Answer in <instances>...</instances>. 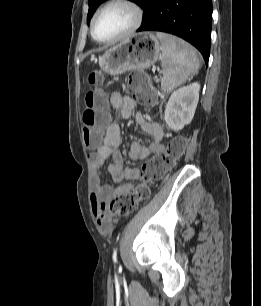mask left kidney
<instances>
[{
	"instance_id": "obj_1",
	"label": "left kidney",
	"mask_w": 261,
	"mask_h": 306,
	"mask_svg": "<svg viewBox=\"0 0 261 306\" xmlns=\"http://www.w3.org/2000/svg\"><path fill=\"white\" fill-rule=\"evenodd\" d=\"M199 90V83H192L171 94L164 113L165 122L170 129L179 131L192 121L199 100Z\"/></svg>"
}]
</instances>
